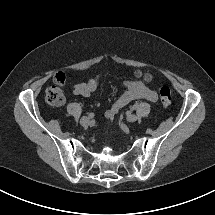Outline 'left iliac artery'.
I'll return each instance as SVG.
<instances>
[{
	"instance_id": "left-iliac-artery-1",
	"label": "left iliac artery",
	"mask_w": 215,
	"mask_h": 215,
	"mask_svg": "<svg viewBox=\"0 0 215 215\" xmlns=\"http://www.w3.org/2000/svg\"><path fill=\"white\" fill-rule=\"evenodd\" d=\"M138 108V104H134L133 107H132V110H136Z\"/></svg>"
}]
</instances>
